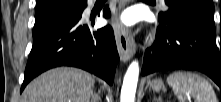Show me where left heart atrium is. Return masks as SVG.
Segmentation results:
<instances>
[{
  "instance_id": "obj_1",
  "label": "left heart atrium",
  "mask_w": 221,
  "mask_h": 102,
  "mask_svg": "<svg viewBox=\"0 0 221 102\" xmlns=\"http://www.w3.org/2000/svg\"><path fill=\"white\" fill-rule=\"evenodd\" d=\"M117 22L123 26H130L133 24V16L130 12H124L119 16Z\"/></svg>"
}]
</instances>
